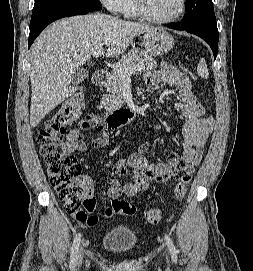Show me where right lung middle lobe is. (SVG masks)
<instances>
[{
	"mask_svg": "<svg viewBox=\"0 0 253 271\" xmlns=\"http://www.w3.org/2000/svg\"><path fill=\"white\" fill-rule=\"evenodd\" d=\"M70 8L95 11L100 10L102 5L99 0H35L30 25L51 12Z\"/></svg>",
	"mask_w": 253,
	"mask_h": 271,
	"instance_id": "obj_1",
	"label": "right lung middle lobe"
}]
</instances>
